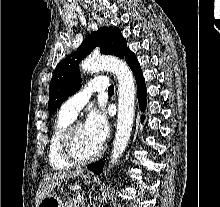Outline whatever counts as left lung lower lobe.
<instances>
[{
	"mask_svg": "<svg viewBox=\"0 0 220 207\" xmlns=\"http://www.w3.org/2000/svg\"><path fill=\"white\" fill-rule=\"evenodd\" d=\"M125 61L127 64L130 66L131 70L133 71L138 87V100H139V105L141 108H144L146 106V87H145V80L143 78L142 72H141V67L137 61V58L135 54L130 51L126 57ZM144 117H142L143 119ZM105 164V161H98L91 166L88 167L89 170L93 171L96 174H100L102 171V168Z\"/></svg>",
	"mask_w": 220,
	"mask_h": 207,
	"instance_id": "1",
	"label": "left lung lower lobe"
}]
</instances>
